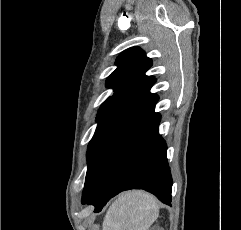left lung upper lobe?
Returning a JSON list of instances; mask_svg holds the SVG:
<instances>
[{"label":"left lung upper lobe","mask_w":241,"mask_h":230,"mask_svg":"<svg viewBox=\"0 0 241 230\" xmlns=\"http://www.w3.org/2000/svg\"><path fill=\"white\" fill-rule=\"evenodd\" d=\"M117 69L107 78V87L113 88L114 94L100 106L97 114L98 126L88 145L87 161L111 137L139 116L158 97L150 93L156 82L153 76L145 72L152 66L140 48H129L116 59Z\"/></svg>","instance_id":"obj_1"}]
</instances>
